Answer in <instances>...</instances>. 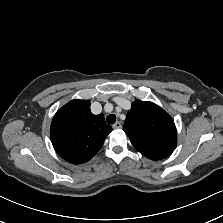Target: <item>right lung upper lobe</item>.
Masks as SVG:
<instances>
[{
  "label": "right lung upper lobe",
  "instance_id": "obj_1",
  "mask_svg": "<svg viewBox=\"0 0 223 223\" xmlns=\"http://www.w3.org/2000/svg\"><path fill=\"white\" fill-rule=\"evenodd\" d=\"M112 127L104 115H93L90 102L72 100L55 114L50 128L51 141L64 160L80 164L90 160L101 148Z\"/></svg>",
  "mask_w": 223,
  "mask_h": 223
}]
</instances>
